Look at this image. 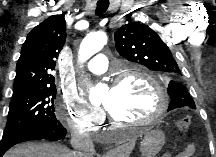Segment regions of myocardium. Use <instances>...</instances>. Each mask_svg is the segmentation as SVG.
<instances>
[{"label": "myocardium", "instance_id": "1", "mask_svg": "<svg viewBox=\"0 0 216 157\" xmlns=\"http://www.w3.org/2000/svg\"><path fill=\"white\" fill-rule=\"evenodd\" d=\"M129 77H138L140 79H143L151 86V88L155 91V94L157 96V100H158L157 107L148 118L144 120L133 121V122L117 119L110 112V110L106 108V112L110 122L113 125H117V126H133V127L154 124L162 117V115L164 114V112L168 107V99L164 88L152 75H150L149 73H147L145 70L141 68L128 69L122 74L116 76L113 80L112 86L118 87L120 84L123 83L125 79Z\"/></svg>", "mask_w": 216, "mask_h": 157}]
</instances>
